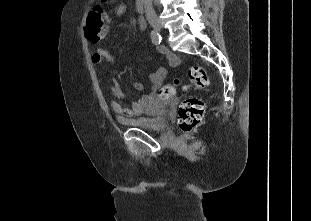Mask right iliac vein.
<instances>
[{"label":"right iliac vein","instance_id":"1","mask_svg":"<svg viewBox=\"0 0 311 221\" xmlns=\"http://www.w3.org/2000/svg\"><path fill=\"white\" fill-rule=\"evenodd\" d=\"M150 23H151V26L154 28L155 31L161 32L162 27H161V24L159 21L152 20Z\"/></svg>","mask_w":311,"mask_h":221}]
</instances>
